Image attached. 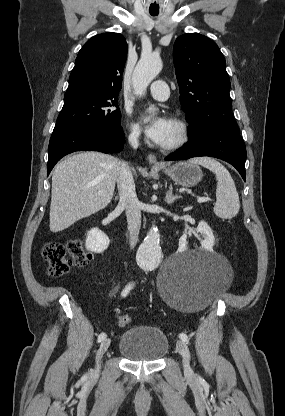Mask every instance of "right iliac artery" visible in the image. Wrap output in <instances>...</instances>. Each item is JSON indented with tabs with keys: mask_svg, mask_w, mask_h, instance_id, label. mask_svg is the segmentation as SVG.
Returning a JSON list of instances; mask_svg holds the SVG:
<instances>
[{
	"mask_svg": "<svg viewBox=\"0 0 285 416\" xmlns=\"http://www.w3.org/2000/svg\"><path fill=\"white\" fill-rule=\"evenodd\" d=\"M133 287V283L128 284L122 291V296L125 297ZM106 338V333L102 332L98 336V342L103 341Z\"/></svg>",
	"mask_w": 285,
	"mask_h": 416,
	"instance_id": "right-iliac-artery-1",
	"label": "right iliac artery"
}]
</instances>
